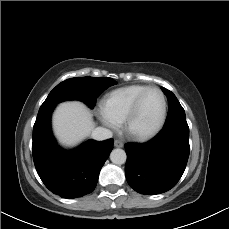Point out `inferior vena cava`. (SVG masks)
<instances>
[{"mask_svg":"<svg viewBox=\"0 0 229 229\" xmlns=\"http://www.w3.org/2000/svg\"><path fill=\"white\" fill-rule=\"evenodd\" d=\"M112 135L109 129L103 127H97L92 131V138L98 141L109 139Z\"/></svg>","mask_w":229,"mask_h":229,"instance_id":"1","label":"inferior vena cava"}]
</instances>
